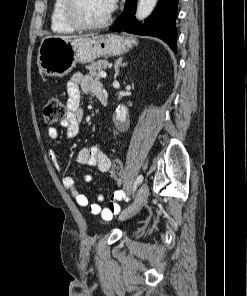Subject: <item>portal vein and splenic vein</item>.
<instances>
[{"instance_id": "obj_1", "label": "portal vein and splenic vein", "mask_w": 247, "mask_h": 296, "mask_svg": "<svg viewBox=\"0 0 247 296\" xmlns=\"http://www.w3.org/2000/svg\"><path fill=\"white\" fill-rule=\"evenodd\" d=\"M99 76L102 77V78H106L107 74H106V72L101 71V72L99 73Z\"/></svg>"}]
</instances>
